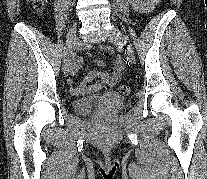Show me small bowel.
I'll list each match as a JSON object with an SVG mask.
<instances>
[{"mask_svg": "<svg viewBox=\"0 0 207 179\" xmlns=\"http://www.w3.org/2000/svg\"><path fill=\"white\" fill-rule=\"evenodd\" d=\"M128 1L136 11L145 14L150 12L154 8V6L158 3L159 0H128ZM88 47L89 46H87V48ZM99 48L106 56L113 55L112 47L108 45L100 44ZM97 63L98 65L103 64L102 61H98ZM81 66H82V59L76 55L72 56L69 64V72L73 75L78 71V69ZM123 72H124V63L122 58L119 55H114L110 73L101 72V71H92L84 77L83 81L78 86L74 85L73 78H70L68 82L71 85L72 93L76 95L83 94L89 89L110 90L119 82L120 78L123 75ZM96 78H99L100 81L95 85L88 87V84Z\"/></svg>", "mask_w": 207, "mask_h": 179, "instance_id": "1", "label": "small bowel"}]
</instances>
